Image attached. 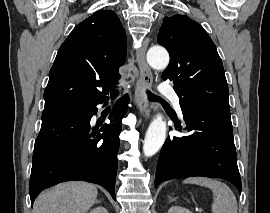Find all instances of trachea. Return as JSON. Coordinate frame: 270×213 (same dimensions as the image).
<instances>
[{
	"instance_id": "1",
	"label": "trachea",
	"mask_w": 270,
	"mask_h": 213,
	"mask_svg": "<svg viewBox=\"0 0 270 213\" xmlns=\"http://www.w3.org/2000/svg\"><path fill=\"white\" fill-rule=\"evenodd\" d=\"M147 94H148V98H149V100H151V101H154V100H159V101H161L162 99L161 98H159L158 96H155L154 94H152L151 92H147ZM111 96L112 97H115L116 96V92L115 91H112L111 92Z\"/></svg>"
}]
</instances>
